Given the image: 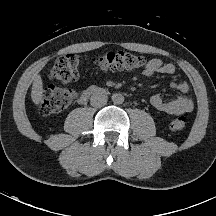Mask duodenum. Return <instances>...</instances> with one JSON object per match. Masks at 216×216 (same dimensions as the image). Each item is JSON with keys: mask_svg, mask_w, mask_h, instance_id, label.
I'll return each instance as SVG.
<instances>
[{"mask_svg": "<svg viewBox=\"0 0 216 216\" xmlns=\"http://www.w3.org/2000/svg\"><path fill=\"white\" fill-rule=\"evenodd\" d=\"M107 91L103 88H98V87H90L87 90H85L79 98V102L81 104L85 103L92 95H97V94H105Z\"/></svg>", "mask_w": 216, "mask_h": 216, "instance_id": "duodenum-1", "label": "duodenum"}]
</instances>
